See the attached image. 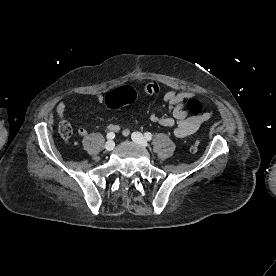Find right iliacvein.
I'll return each instance as SVG.
<instances>
[{
    "mask_svg": "<svg viewBox=\"0 0 276 276\" xmlns=\"http://www.w3.org/2000/svg\"><path fill=\"white\" fill-rule=\"evenodd\" d=\"M114 147H115V143L112 140L107 141L105 144L106 151H112Z\"/></svg>",
    "mask_w": 276,
    "mask_h": 276,
    "instance_id": "63e3f726",
    "label": "right iliac vein"
}]
</instances>
